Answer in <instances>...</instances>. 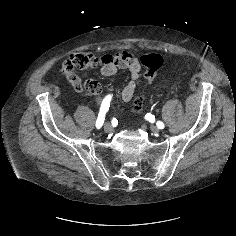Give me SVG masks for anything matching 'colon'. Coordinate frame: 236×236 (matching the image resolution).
<instances>
[{
  "mask_svg": "<svg viewBox=\"0 0 236 236\" xmlns=\"http://www.w3.org/2000/svg\"><path fill=\"white\" fill-rule=\"evenodd\" d=\"M141 63L145 68V78L148 83H151L158 70L163 65V57L160 54L157 53H147L141 57ZM74 70V67L71 63L65 62L62 66L63 73H68ZM143 99L137 98L134 103V108L136 111H139L142 106Z\"/></svg>",
  "mask_w": 236,
  "mask_h": 236,
  "instance_id": "1",
  "label": "colon"
}]
</instances>
